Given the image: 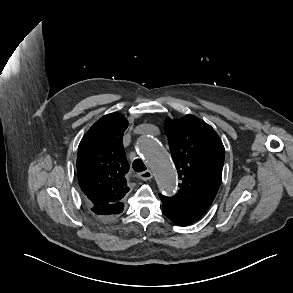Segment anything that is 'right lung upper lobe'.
Masks as SVG:
<instances>
[{
  "mask_svg": "<svg viewBox=\"0 0 293 293\" xmlns=\"http://www.w3.org/2000/svg\"><path fill=\"white\" fill-rule=\"evenodd\" d=\"M127 120L112 113L98 120L82 138L77 155V175L89 207L122 203L129 191V170L122 145Z\"/></svg>",
  "mask_w": 293,
  "mask_h": 293,
  "instance_id": "right-lung-upper-lobe-1",
  "label": "right lung upper lobe"
}]
</instances>
